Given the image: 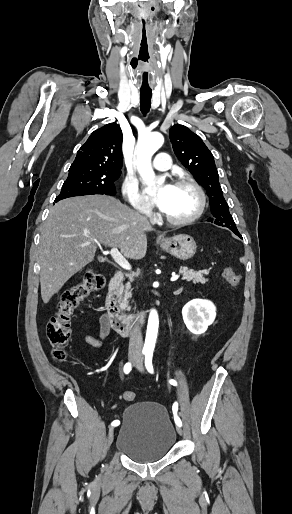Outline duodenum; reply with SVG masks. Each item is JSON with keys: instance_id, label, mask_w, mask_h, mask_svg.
<instances>
[{"instance_id": "410a0bca", "label": "duodenum", "mask_w": 292, "mask_h": 514, "mask_svg": "<svg viewBox=\"0 0 292 514\" xmlns=\"http://www.w3.org/2000/svg\"><path fill=\"white\" fill-rule=\"evenodd\" d=\"M124 282V273L116 270L110 280L105 309L109 325L118 333H128L138 328L143 321L145 312H140L135 317L124 316L119 305V293Z\"/></svg>"}]
</instances>
